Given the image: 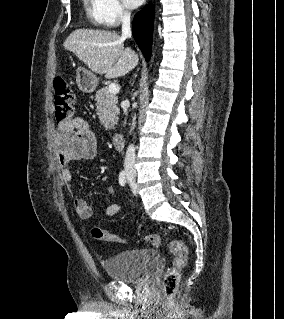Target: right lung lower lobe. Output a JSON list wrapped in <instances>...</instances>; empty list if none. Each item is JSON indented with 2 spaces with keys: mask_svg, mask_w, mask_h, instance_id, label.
Masks as SVG:
<instances>
[{
  "mask_svg": "<svg viewBox=\"0 0 284 319\" xmlns=\"http://www.w3.org/2000/svg\"><path fill=\"white\" fill-rule=\"evenodd\" d=\"M154 7L149 5L138 12L133 19L132 33L147 61L151 56Z\"/></svg>",
  "mask_w": 284,
  "mask_h": 319,
  "instance_id": "right-lung-lower-lobe-1",
  "label": "right lung lower lobe"
}]
</instances>
